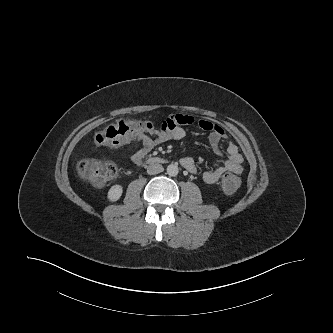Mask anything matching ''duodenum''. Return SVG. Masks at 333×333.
Listing matches in <instances>:
<instances>
[{
  "label": "duodenum",
  "instance_id": "1",
  "mask_svg": "<svg viewBox=\"0 0 333 333\" xmlns=\"http://www.w3.org/2000/svg\"><path fill=\"white\" fill-rule=\"evenodd\" d=\"M150 162H157V161H160L159 159H155V158H150L149 159Z\"/></svg>",
  "mask_w": 333,
  "mask_h": 333
}]
</instances>
